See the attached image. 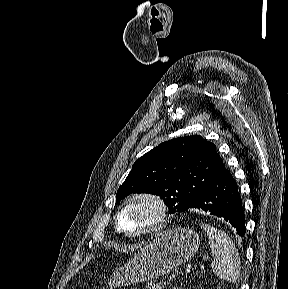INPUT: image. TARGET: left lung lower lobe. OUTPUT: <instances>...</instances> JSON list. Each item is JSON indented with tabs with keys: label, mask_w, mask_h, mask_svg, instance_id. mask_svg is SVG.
<instances>
[{
	"label": "left lung lower lobe",
	"mask_w": 288,
	"mask_h": 289,
	"mask_svg": "<svg viewBox=\"0 0 288 289\" xmlns=\"http://www.w3.org/2000/svg\"><path fill=\"white\" fill-rule=\"evenodd\" d=\"M188 209H202L229 221L241 237L245 233V216L237 183L224 167L192 201ZM186 210V211H187Z\"/></svg>",
	"instance_id": "1"
}]
</instances>
